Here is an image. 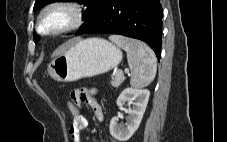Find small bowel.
Here are the masks:
<instances>
[{"instance_id":"c3829d8e","label":"small bowel","mask_w":227,"mask_h":142,"mask_svg":"<svg viewBox=\"0 0 227 142\" xmlns=\"http://www.w3.org/2000/svg\"><path fill=\"white\" fill-rule=\"evenodd\" d=\"M98 91L96 89L81 88L71 91L70 97L72 102H74L78 107L82 104H88L92 107L95 112V115L99 121L105 119V114L102 107L96 102L93 98ZM88 121L83 115L81 119L75 120L71 123L69 127V135L72 138L73 142H80L81 132L87 127ZM110 142H115L111 140Z\"/></svg>"}]
</instances>
